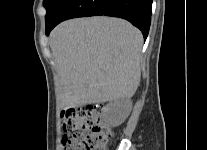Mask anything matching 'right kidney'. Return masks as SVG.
<instances>
[{"label": "right kidney", "mask_w": 207, "mask_h": 150, "mask_svg": "<svg viewBox=\"0 0 207 150\" xmlns=\"http://www.w3.org/2000/svg\"><path fill=\"white\" fill-rule=\"evenodd\" d=\"M131 107L129 98L114 100L105 107V117L111 125L118 126L128 117Z\"/></svg>", "instance_id": "obj_1"}]
</instances>
